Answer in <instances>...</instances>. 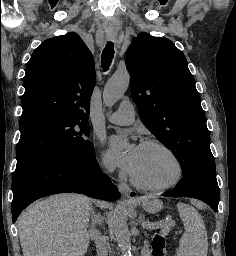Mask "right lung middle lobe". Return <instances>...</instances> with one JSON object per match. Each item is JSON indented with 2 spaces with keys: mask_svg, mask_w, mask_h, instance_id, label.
Masks as SVG:
<instances>
[{
  "mask_svg": "<svg viewBox=\"0 0 236 256\" xmlns=\"http://www.w3.org/2000/svg\"><path fill=\"white\" fill-rule=\"evenodd\" d=\"M17 164L49 153L93 152L87 120L54 113H38L20 119Z\"/></svg>",
  "mask_w": 236,
  "mask_h": 256,
  "instance_id": "right-lung-middle-lobe-1",
  "label": "right lung middle lobe"
}]
</instances>
